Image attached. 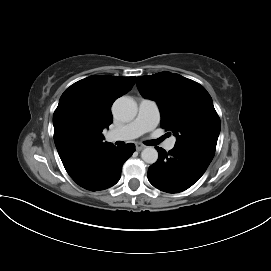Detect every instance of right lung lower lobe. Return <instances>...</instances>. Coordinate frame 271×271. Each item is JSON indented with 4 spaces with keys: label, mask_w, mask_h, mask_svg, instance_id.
Segmentation results:
<instances>
[{
    "label": "right lung lower lobe",
    "mask_w": 271,
    "mask_h": 271,
    "mask_svg": "<svg viewBox=\"0 0 271 271\" xmlns=\"http://www.w3.org/2000/svg\"><path fill=\"white\" fill-rule=\"evenodd\" d=\"M135 145L107 148L97 159L85 166L71 178L81 187L90 190H104L115 185L120 177L124 162L132 156Z\"/></svg>",
    "instance_id": "right-lung-lower-lobe-1"
}]
</instances>
